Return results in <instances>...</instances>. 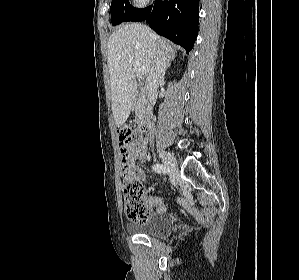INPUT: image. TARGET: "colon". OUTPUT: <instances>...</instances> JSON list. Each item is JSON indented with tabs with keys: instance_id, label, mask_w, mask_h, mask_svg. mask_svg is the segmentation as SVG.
I'll list each match as a JSON object with an SVG mask.
<instances>
[{
	"instance_id": "obj_1",
	"label": "colon",
	"mask_w": 299,
	"mask_h": 280,
	"mask_svg": "<svg viewBox=\"0 0 299 280\" xmlns=\"http://www.w3.org/2000/svg\"><path fill=\"white\" fill-rule=\"evenodd\" d=\"M117 135L123 163L124 211L130 221L144 223L151 217L152 210L142 198V184L128 174V145L134 140L135 131L129 125H122L117 128Z\"/></svg>"
}]
</instances>
